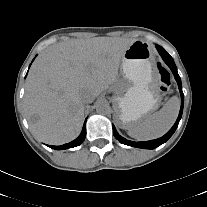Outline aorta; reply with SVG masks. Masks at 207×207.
<instances>
[{
	"instance_id": "aorta-1",
	"label": "aorta",
	"mask_w": 207,
	"mask_h": 207,
	"mask_svg": "<svg viewBox=\"0 0 207 207\" xmlns=\"http://www.w3.org/2000/svg\"><path fill=\"white\" fill-rule=\"evenodd\" d=\"M96 111H97V113H99L101 115H107L110 113L111 107L109 106V104H107L105 102H100L96 106Z\"/></svg>"
}]
</instances>
